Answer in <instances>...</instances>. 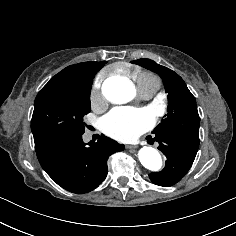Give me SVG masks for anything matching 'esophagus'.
Segmentation results:
<instances>
[{
    "instance_id": "esophagus-1",
    "label": "esophagus",
    "mask_w": 236,
    "mask_h": 236,
    "mask_svg": "<svg viewBox=\"0 0 236 236\" xmlns=\"http://www.w3.org/2000/svg\"><path fill=\"white\" fill-rule=\"evenodd\" d=\"M135 146H133V145H130V146H128V148H134Z\"/></svg>"
}]
</instances>
